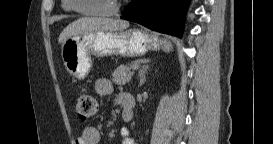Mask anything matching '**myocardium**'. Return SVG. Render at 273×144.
Instances as JSON below:
<instances>
[{
  "label": "myocardium",
  "mask_w": 273,
  "mask_h": 144,
  "mask_svg": "<svg viewBox=\"0 0 273 144\" xmlns=\"http://www.w3.org/2000/svg\"><path fill=\"white\" fill-rule=\"evenodd\" d=\"M78 0H70V6L72 10H74L77 13H80L82 15H89V16H106V15H112L118 12L120 3L119 1H115L114 5L105 10H86L82 9L79 4Z\"/></svg>",
  "instance_id": "f54148a6"
}]
</instances>
